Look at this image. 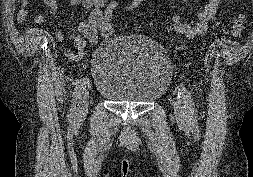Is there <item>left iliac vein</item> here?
<instances>
[{
  "label": "left iliac vein",
  "mask_w": 253,
  "mask_h": 177,
  "mask_svg": "<svg viewBox=\"0 0 253 177\" xmlns=\"http://www.w3.org/2000/svg\"><path fill=\"white\" fill-rule=\"evenodd\" d=\"M174 111L177 118L181 120L186 119V109L182 99H180L179 97H177L174 102Z\"/></svg>",
  "instance_id": "obj_1"
}]
</instances>
